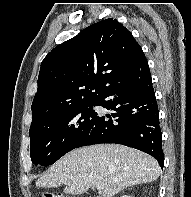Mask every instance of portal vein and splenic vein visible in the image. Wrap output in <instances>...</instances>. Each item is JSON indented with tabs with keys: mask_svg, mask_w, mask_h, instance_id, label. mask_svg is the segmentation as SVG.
Returning <instances> with one entry per match:
<instances>
[{
	"mask_svg": "<svg viewBox=\"0 0 191 197\" xmlns=\"http://www.w3.org/2000/svg\"><path fill=\"white\" fill-rule=\"evenodd\" d=\"M104 187H105V185H104L103 183H97V184H96V188H97L98 190H102V189H104Z\"/></svg>",
	"mask_w": 191,
	"mask_h": 197,
	"instance_id": "18ae733b",
	"label": "portal vein and splenic vein"
}]
</instances>
